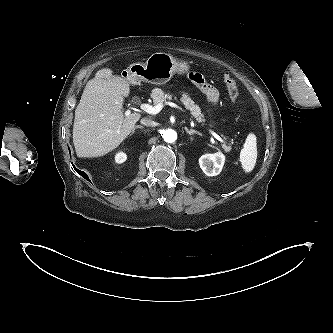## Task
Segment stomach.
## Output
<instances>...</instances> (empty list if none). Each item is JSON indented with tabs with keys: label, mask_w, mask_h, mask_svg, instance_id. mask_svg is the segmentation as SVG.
I'll return each instance as SVG.
<instances>
[{
	"label": "stomach",
	"mask_w": 333,
	"mask_h": 333,
	"mask_svg": "<svg viewBox=\"0 0 333 333\" xmlns=\"http://www.w3.org/2000/svg\"><path fill=\"white\" fill-rule=\"evenodd\" d=\"M187 62H179L167 53H154L145 63H133L126 70L125 79L132 83L141 81L162 85L171 80L174 74H183L189 70Z\"/></svg>",
	"instance_id": "obj_1"
}]
</instances>
